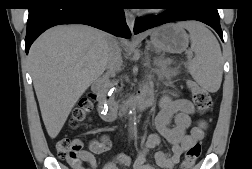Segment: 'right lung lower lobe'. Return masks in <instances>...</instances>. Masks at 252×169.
I'll list each match as a JSON object with an SVG mask.
<instances>
[{"label": "right lung lower lobe", "instance_id": "obj_1", "mask_svg": "<svg viewBox=\"0 0 252 169\" xmlns=\"http://www.w3.org/2000/svg\"><path fill=\"white\" fill-rule=\"evenodd\" d=\"M118 0H36L29 8L25 51L50 27L85 24L130 38L123 8Z\"/></svg>", "mask_w": 252, "mask_h": 169}]
</instances>
